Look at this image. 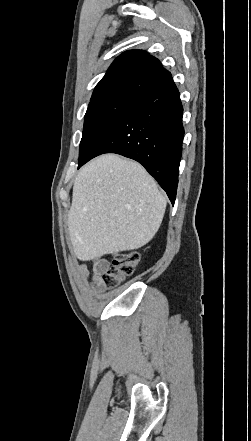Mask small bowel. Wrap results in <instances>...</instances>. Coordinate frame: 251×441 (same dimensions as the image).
<instances>
[{"mask_svg":"<svg viewBox=\"0 0 251 441\" xmlns=\"http://www.w3.org/2000/svg\"><path fill=\"white\" fill-rule=\"evenodd\" d=\"M91 263L94 273L93 282L91 285L92 290L98 294L104 293L107 291L108 287L103 284L101 276L108 267V261L105 258H96L92 260ZM77 272L81 281L85 284H89L91 273L87 263H81L78 266Z\"/></svg>","mask_w":251,"mask_h":441,"instance_id":"obj_1","label":"small bowel"}]
</instances>
